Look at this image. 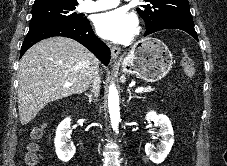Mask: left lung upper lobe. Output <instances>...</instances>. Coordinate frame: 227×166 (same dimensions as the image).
Wrapping results in <instances>:
<instances>
[{
    "label": "left lung upper lobe",
    "mask_w": 227,
    "mask_h": 166,
    "mask_svg": "<svg viewBox=\"0 0 227 166\" xmlns=\"http://www.w3.org/2000/svg\"><path fill=\"white\" fill-rule=\"evenodd\" d=\"M137 9L146 24V32L154 31L182 18H192L188 0H145Z\"/></svg>",
    "instance_id": "1"
}]
</instances>
